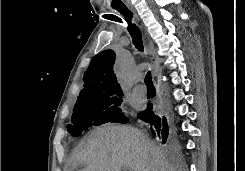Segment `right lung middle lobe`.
Wrapping results in <instances>:
<instances>
[{"label": "right lung middle lobe", "instance_id": "1", "mask_svg": "<svg viewBox=\"0 0 245 171\" xmlns=\"http://www.w3.org/2000/svg\"><path fill=\"white\" fill-rule=\"evenodd\" d=\"M104 95L86 100H78L72 114V124L67 131L77 137L85 130L105 123H127L128 119L121 114L118 107L122 102L123 94L117 96Z\"/></svg>", "mask_w": 245, "mask_h": 171}]
</instances>
